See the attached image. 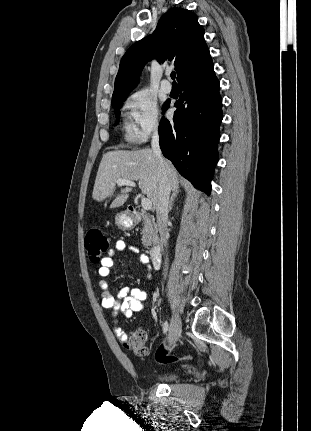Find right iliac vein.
<instances>
[{"mask_svg": "<svg viewBox=\"0 0 311 431\" xmlns=\"http://www.w3.org/2000/svg\"><path fill=\"white\" fill-rule=\"evenodd\" d=\"M182 322L179 315L174 312L169 330V342L174 344L181 335Z\"/></svg>", "mask_w": 311, "mask_h": 431, "instance_id": "63e3f726", "label": "right iliac vein"}]
</instances>
